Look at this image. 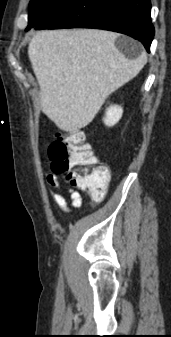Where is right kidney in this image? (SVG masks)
Instances as JSON below:
<instances>
[{
    "mask_svg": "<svg viewBox=\"0 0 171 337\" xmlns=\"http://www.w3.org/2000/svg\"><path fill=\"white\" fill-rule=\"evenodd\" d=\"M122 114V107L118 105H111L109 108H107L103 121L105 125L109 127L114 126L121 119Z\"/></svg>",
    "mask_w": 171,
    "mask_h": 337,
    "instance_id": "obj_1",
    "label": "right kidney"
}]
</instances>
